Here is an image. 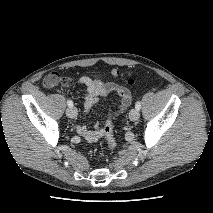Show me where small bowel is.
I'll use <instances>...</instances> for the list:
<instances>
[{
	"instance_id": "obj_1",
	"label": "small bowel",
	"mask_w": 213,
	"mask_h": 213,
	"mask_svg": "<svg viewBox=\"0 0 213 213\" xmlns=\"http://www.w3.org/2000/svg\"><path fill=\"white\" fill-rule=\"evenodd\" d=\"M53 77L55 80H52ZM60 81V76L53 72L45 77L44 86L45 88H52L58 85ZM78 83L86 87V94L83 102V108L86 111L90 110L94 106L100 95L106 96L111 93H117L121 97L116 116H118L132 100L130 92L127 97L124 96L122 91L127 89L115 83L102 82L100 80L92 79L88 76L80 77ZM76 129L77 132L89 142H95L102 137V129L99 127L89 129L84 125H78Z\"/></svg>"
}]
</instances>
